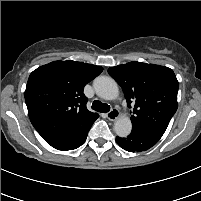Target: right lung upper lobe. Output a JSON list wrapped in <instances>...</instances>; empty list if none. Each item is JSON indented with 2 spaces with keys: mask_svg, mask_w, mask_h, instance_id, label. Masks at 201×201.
I'll return each mask as SVG.
<instances>
[{
  "mask_svg": "<svg viewBox=\"0 0 201 201\" xmlns=\"http://www.w3.org/2000/svg\"><path fill=\"white\" fill-rule=\"evenodd\" d=\"M103 71L77 61H54L34 70L28 79L25 101L29 118L43 137L83 133L99 117L86 108L84 86Z\"/></svg>",
  "mask_w": 201,
  "mask_h": 201,
  "instance_id": "1",
  "label": "right lung upper lobe"
}]
</instances>
